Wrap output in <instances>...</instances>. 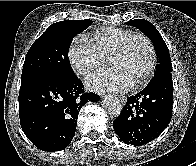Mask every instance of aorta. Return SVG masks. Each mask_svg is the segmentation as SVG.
I'll return each instance as SVG.
<instances>
[{
	"mask_svg": "<svg viewBox=\"0 0 196 166\" xmlns=\"http://www.w3.org/2000/svg\"><path fill=\"white\" fill-rule=\"evenodd\" d=\"M103 105L105 109L109 112V114L113 116H118L122 111V105L120 100L115 96H107L104 101Z\"/></svg>",
	"mask_w": 196,
	"mask_h": 166,
	"instance_id": "1",
	"label": "aorta"
}]
</instances>
